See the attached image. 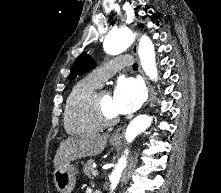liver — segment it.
I'll return each mask as SVG.
<instances>
[{
	"label": "liver",
	"mask_w": 221,
	"mask_h": 193,
	"mask_svg": "<svg viewBox=\"0 0 221 193\" xmlns=\"http://www.w3.org/2000/svg\"><path fill=\"white\" fill-rule=\"evenodd\" d=\"M107 134H87L67 138L57 149L53 163L57 169L71 161L100 154L107 143Z\"/></svg>",
	"instance_id": "liver-1"
}]
</instances>
